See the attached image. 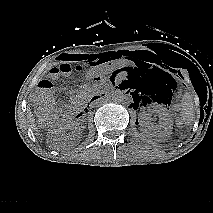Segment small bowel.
I'll return each mask as SVG.
<instances>
[{"mask_svg":"<svg viewBox=\"0 0 213 213\" xmlns=\"http://www.w3.org/2000/svg\"><path fill=\"white\" fill-rule=\"evenodd\" d=\"M113 82L117 85V87H121L126 83L127 77H128V73L126 71H116L113 74ZM145 104H155L158 103V100L156 99H144Z\"/></svg>","mask_w":213,"mask_h":213,"instance_id":"c3829d8e","label":"small bowel"}]
</instances>
